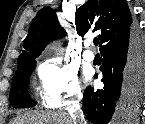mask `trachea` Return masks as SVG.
I'll list each match as a JSON object with an SVG mask.
<instances>
[{"label":"trachea","instance_id":"1","mask_svg":"<svg viewBox=\"0 0 145 124\" xmlns=\"http://www.w3.org/2000/svg\"><path fill=\"white\" fill-rule=\"evenodd\" d=\"M99 43V40L98 39H94V45L97 46Z\"/></svg>","mask_w":145,"mask_h":124}]
</instances>
